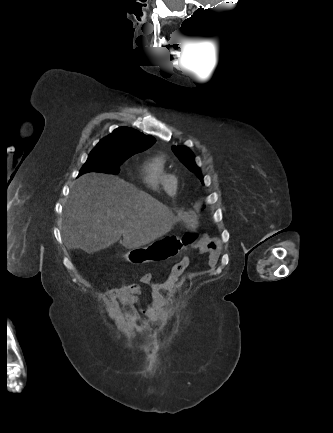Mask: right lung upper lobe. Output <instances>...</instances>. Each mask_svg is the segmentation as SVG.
I'll return each instance as SVG.
<instances>
[{"label": "right lung upper lobe", "instance_id": "obj_1", "mask_svg": "<svg viewBox=\"0 0 333 433\" xmlns=\"http://www.w3.org/2000/svg\"><path fill=\"white\" fill-rule=\"evenodd\" d=\"M155 143V138L129 128L119 127L110 135L103 138L96 148H106L112 152L124 154H136L149 148Z\"/></svg>", "mask_w": 333, "mask_h": 433}]
</instances>
